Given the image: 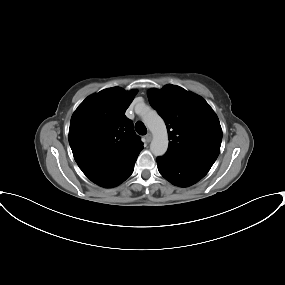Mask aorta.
<instances>
[{"instance_id": "obj_1", "label": "aorta", "mask_w": 285, "mask_h": 285, "mask_svg": "<svg viewBox=\"0 0 285 285\" xmlns=\"http://www.w3.org/2000/svg\"><path fill=\"white\" fill-rule=\"evenodd\" d=\"M144 124L153 135L150 150L155 156H162L168 149V134L164 120L155 110L148 109L142 116Z\"/></svg>"}]
</instances>
